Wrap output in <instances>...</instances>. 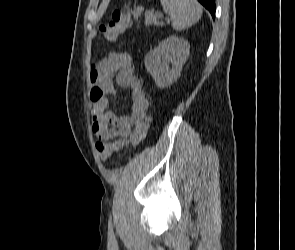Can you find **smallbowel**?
Instances as JSON below:
<instances>
[{"mask_svg": "<svg viewBox=\"0 0 295 250\" xmlns=\"http://www.w3.org/2000/svg\"><path fill=\"white\" fill-rule=\"evenodd\" d=\"M90 111L92 131L98 142L116 141L122 147L133 145L134 128L146 119L149 101L140 79L134 74L132 57L125 52L111 53L90 72ZM130 92V112L118 116L109 110L114 85Z\"/></svg>", "mask_w": 295, "mask_h": 250, "instance_id": "1", "label": "small bowel"}]
</instances>
